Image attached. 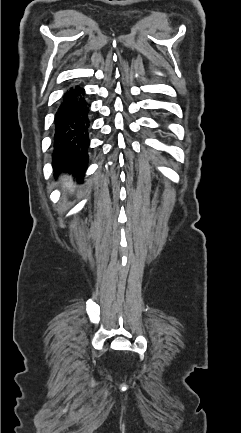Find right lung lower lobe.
<instances>
[{"label":"right lung lower lobe","mask_w":241,"mask_h":433,"mask_svg":"<svg viewBox=\"0 0 241 433\" xmlns=\"http://www.w3.org/2000/svg\"><path fill=\"white\" fill-rule=\"evenodd\" d=\"M83 88L68 90L55 115L54 170L70 171L82 180L87 169L90 130V104Z\"/></svg>","instance_id":"obj_1"}]
</instances>
